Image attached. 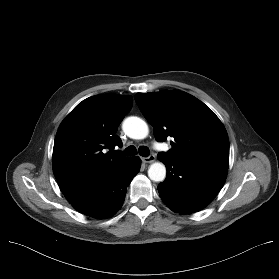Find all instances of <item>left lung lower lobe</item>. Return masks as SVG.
Returning <instances> with one entry per match:
<instances>
[{"instance_id":"0a47b994","label":"left lung lower lobe","mask_w":279,"mask_h":279,"mask_svg":"<svg viewBox=\"0 0 279 279\" xmlns=\"http://www.w3.org/2000/svg\"><path fill=\"white\" fill-rule=\"evenodd\" d=\"M167 168L166 179L158 185L159 195L174 212L200 211L218 194L227 170L182 163L171 157L158 156Z\"/></svg>"}]
</instances>
